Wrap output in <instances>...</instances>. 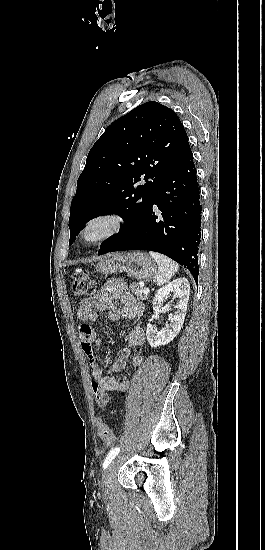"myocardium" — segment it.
<instances>
[{
	"instance_id": "1",
	"label": "myocardium",
	"mask_w": 265,
	"mask_h": 550,
	"mask_svg": "<svg viewBox=\"0 0 265 550\" xmlns=\"http://www.w3.org/2000/svg\"><path fill=\"white\" fill-rule=\"evenodd\" d=\"M124 219L115 213H101L88 219L81 227L78 237L82 245L91 247L104 243L119 234Z\"/></svg>"
}]
</instances>
